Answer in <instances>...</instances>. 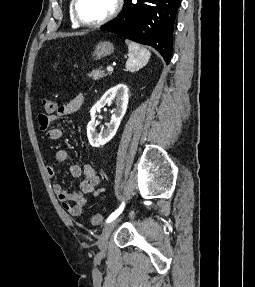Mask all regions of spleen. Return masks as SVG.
I'll return each instance as SVG.
<instances>
[{
  "label": "spleen",
  "mask_w": 255,
  "mask_h": 287,
  "mask_svg": "<svg viewBox=\"0 0 255 287\" xmlns=\"http://www.w3.org/2000/svg\"><path fill=\"white\" fill-rule=\"evenodd\" d=\"M128 46L129 58L126 62L127 70L130 72H136L140 70L143 66H146L150 60V52L140 46V44H135V42H130V40H125Z\"/></svg>",
  "instance_id": "1"
}]
</instances>
